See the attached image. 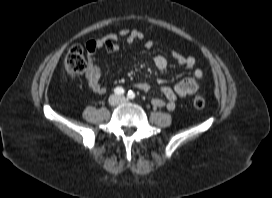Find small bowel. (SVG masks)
<instances>
[{
    "label": "small bowel",
    "mask_w": 272,
    "mask_h": 198,
    "mask_svg": "<svg viewBox=\"0 0 272 198\" xmlns=\"http://www.w3.org/2000/svg\"><path fill=\"white\" fill-rule=\"evenodd\" d=\"M121 37L126 38L129 43H133L143 40L144 34L139 30L121 29L117 33H110L86 42V80L89 88L95 94L102 95L106 92V87L100 81L101 71L97 64L96 53L102 48H106L110 53H115L118 49L117 42ZM144 45L147 49H153L155 47V43L151 40L146 41ZM171 56L180 66L193 71L190 77L182 79L174 87L164 86L161 88V93L165 97V100L161 98L152 99L153 106L165 108L169 111L175 109L178 97L191 96L197 93L203 78V71L200 68H195L196 60L193 56L183 55L176 51H173ZM153 62L160 71H165L168 67V59L162 54L156 55ZM134 86L144 92L150 88L145 82H137Z\"/></svg>",
    "instance_id": "small-bowel-1"
}]
</instances>
